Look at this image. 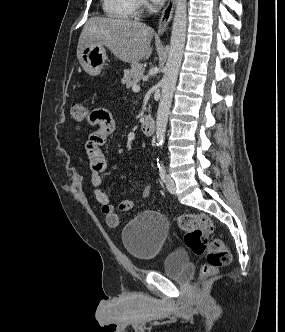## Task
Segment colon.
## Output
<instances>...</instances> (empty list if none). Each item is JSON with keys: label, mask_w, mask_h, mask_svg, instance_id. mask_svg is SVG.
Instances as JSON below:
<instances>
[{"label": "colon", "mask_w": 285, "mask_h": 332, "mask_svg": "<svg viewBox=\"0 0 285 332\" xmlns=\"http://www.w3.org/2000/svg\"><path fill=\"white\" fill-rule=\"evenodd\" d=\"M91 111L86 103H74L70 114L72 120L82 125V116ZM178 226L184 233L187 247L197 255L206 253V263L201 268V275L208 276L219 268L229 264L231 254L226 244L220 239H209L213 232V223L206 214H185L179 217Z\"/></svg>", "instance_id": "1"}]
</instances>
